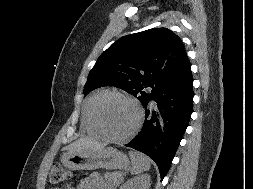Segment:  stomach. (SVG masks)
<instances>
[{"instance_id":"1","label":"stomach","mask_w":253,"mask_h":189,"mask_svg":"<svg viewBox=\"0 0 253 189\" xmlns=\"http://www.w3.org/2000/svg\"><path fill=\"white\" fill-rule=\"evenodd\" d=\"M63 166L70 170H107L129 168L128 157L119 150L107 147L100 151L66 152L61 157Z\"/></svg>"}]
</instances>
